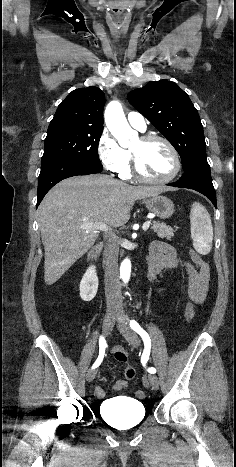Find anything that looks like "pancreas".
Returning <instances> with one entry per match:
<instances>
[{
  "label": "pancreas",
  "mask_w": 236,
  "mask_h": 467,
  "mask_svg": "<svg viewBox=\"0 0 236 467\" xmlns=\"http://www.w3.org/2000/svg\"><path fill=\"white\" fill-rule=\"evenodd\" d=\"M151 229L157 233L158 237L162 239L166 238L167 240H171V238L174 236L173 229L167 226L165 223L153 221Z\"/></svg>",
  "instance_id": "obj_1"
}]
</instances>
